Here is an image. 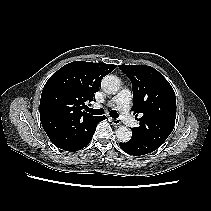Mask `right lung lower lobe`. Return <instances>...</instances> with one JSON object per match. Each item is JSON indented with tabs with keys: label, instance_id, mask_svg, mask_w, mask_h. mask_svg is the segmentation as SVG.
<instances>
[{
	"label": "right lung lower lobe",
	"instance_id": "98d812e1",
	"mask_svg": "<svg viewBox=\"0 0 211 211\" xmlns=\"http://www.w3.org/2000/svg\"><path fill=\"white\" fill-rule=\"evenodd\" d=\"M106 119L105 116L97 117L86 129H84L76 139L70 143L67 147L61 148L66 151H78L84 148L91 141L93 134L95 133L97 124Z\"/></svg>",
	"mask_w": 211,
	"mask_h": 211
}]
</instances>
